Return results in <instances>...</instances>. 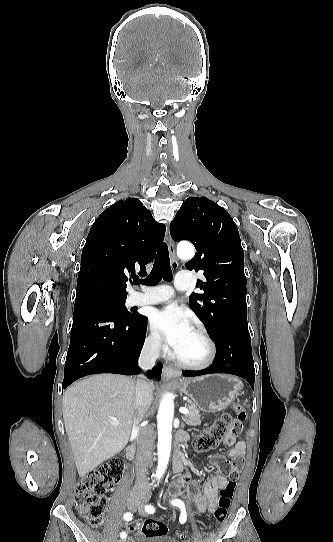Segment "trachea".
Segmentation results:
<instances>
[{"mask_svg":"<svg viewBox=\"0 0 333 542\" xmlns=\"http://www.w3.org/2000/svg\"><path fill=\"white\" fill-rule=\"evenodd\" d=\"M172 270L170 267L169 252L167 245L164 243L159 248L151 273L144 280L135 279L134 283L139 285L144 283L145 285H156L161 279L172 280Z\"/></svg>","mask_w":333,"mask_h":542,"instance_id":"trachea-1","label":"trachea"}]
</instances>
